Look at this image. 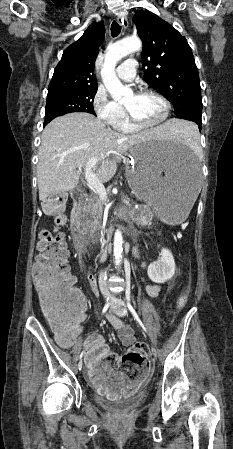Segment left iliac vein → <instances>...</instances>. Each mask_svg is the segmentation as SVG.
Returning <instances> with one entry per match:
<instances>
[{
  "instance_id": "4c4485c4",
  "label": "left iliac vein",
  "mask_w": 233,
  "mask_h": 449,
  "mask_svg": "<svg viewBox=\"0 0 233 449\" xmlns=\"http://www.w3.org/2000/svg\"><path fill=\"white\" fill-rule=\"evenodd\" d=\"M111 303H112V305L116 304V305L119 306L120 316H126L127 315V310H126L125 304H124V302L122 300L116 298L115 296H112L111 297ZM152 355H153L154 358H157V356H158V352H157V350L154 347L152 348Z\"/></svg>"
}]
</instances>
